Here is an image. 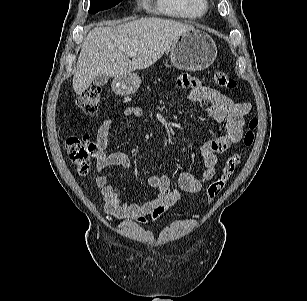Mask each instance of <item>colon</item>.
<instances>
[{"label": "colon", "mask_w": 307, "mask_h": 301, "mask_svg": "<svg viewBox=\"0 0 307 301\" xmlns=\"http://www.w3.org/2000/svg\"><path fill=\"white\" fill-rule=\"evenodd\" d=\"M215 82L223 88L232 89L236 86L235 79L226 72L216 71L214 73ZM101 102V91L97 87L89 88L78 95L76 99L77 106L87 116L94 115ZM258 125V120H250L248 129L244 135V145L249 147L254 141V131ZM66 148L70 160L76 165L80 174H85L90 167L91 161L95 155L96 145L88 136H71L66 140ZM241 163V155L235 153L231 155L223 165L220 176L212 181L206 189V198L212 202L220 194L226 182Z\"/></svg>", "instance_id": "colon-1"}]
</instances>
